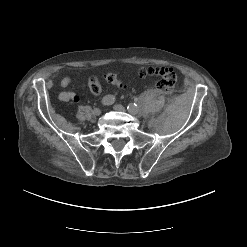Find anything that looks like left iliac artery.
Returning a JSON list of instances; mask_svg holds the SVG:
<instances>
[{"mask_svg":"<svg viewBox=\"0 0 247 247\" xmlns=\"http://www.w3.org/2000/svg\"><path fill=\"white\" fill-rule=\"evenodd\" d=\"M138 104H130L127 109L132 116H137L139 114V109L137 108Z\"/></svg>","mask_w":247,"mask_h":247,"instance_id":"obj_1","label":"left iliac artery"}]
</instances>
